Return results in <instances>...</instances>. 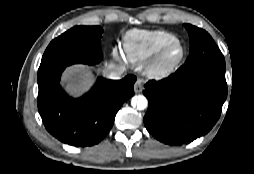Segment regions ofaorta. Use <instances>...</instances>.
I'll list each match as a JSON object with an SVG mask.
<instances>
[{
  "label": "aorta",
  "mask_w": 254,
  "mask_h": 174,
  "mask_svg": "<svg viewBox=\"0 0 254 174\" xmlns=\"http://www.w3.org/2000/svg\"><path fill=\"white\" fill-rule=\"evenodd\" d=\"M132 105L138 110H144L148 106V101L145 96L139 95L132 99Z\"/></svg>",
  "instance_id": "762f6f07"
}]
</instances>
